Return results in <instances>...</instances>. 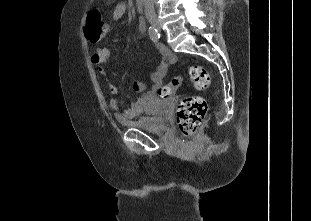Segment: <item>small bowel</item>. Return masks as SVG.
I'll list each match as a JSON object with an SVG mask.
<instances>
[{"mask_svg":"<svg viewBox=\"0 0 311 221\" xmlns=\"http://www.w3.org/2000/svg\"><path fill=\"white\" fill-rule=\"evenodd\" d=\"M126 6L124 3H117L113 9L112 20L115 22L119 20L124 12ZM138 29L142 32L144 28L139 27ZM157 50L162 56V62L157 66V68L151 72L150 79L153 83L152 89L142 94L135 102H133L130 107L123 108L119 102L120 89L118 85L111 79V76L107 70V64L111 60L110 50L107 47H99L96 49L92 56L93 63L97 66L100 74L105 78L107 83V90L110 95L109 106L113 110L116 118L118 120L124 118H133L141 114L144 110L146 103L156 94L158 89L162 86L163 80L167 74V68L170 63L174 61V55L163 45H157ZM133 88L135 91L144 92L146 86L143 82L135 81L133 83Z\"/></svg>","mask_w":311,"mask_h":221,"instance_id":"obj_1","label":"small bowel"}]
</instances>
